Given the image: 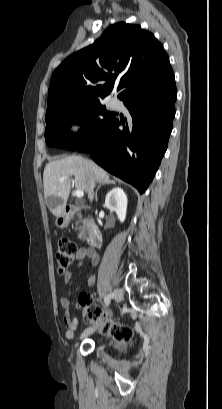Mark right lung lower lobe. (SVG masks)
<instances>
[{"instance_id": "1", "label": "right lung lower lobe", "mask_w": 222, "mask_h": 409, "mask_svg": "<svg viewBox=\"0 0 222 409\" xmlns=\"http://www.w3.org/2000/svg\"><path fill=\"white\" fill-rule=\"evenodd\" d=\"M162 89L123 101L130 116L111 121L103 140L89 148L91 158L108 172L132 184L140 193L152 181L167 149L175 116L177 91L174 74L160 76Z\"/></svg>"}]
</instances>
